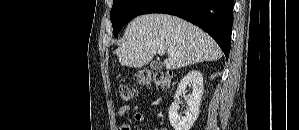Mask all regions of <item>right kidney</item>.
Wrapping results in <instances>:
<instances>
[{
  "label": "right kidney",
  "mask_w": 299,
  "mask_h": 130,
  "mask_svg": "<svg viewBox=\"0 0 299 130\" xmlns=\"http://www.w3.org/2000/svg\"><path fill=\"white\" fill-rule=\"evenodd\" d=\"M187 87H192V94L187 100L188 110L185 116L181 117L177 112V100ZM202 94L203 76L198 70H192L179 83L175 101L169 108V121L174 130H190L199 115Z\"/></svg>",
  "instance_id": "right-kidney-1"
}]
</instances>
